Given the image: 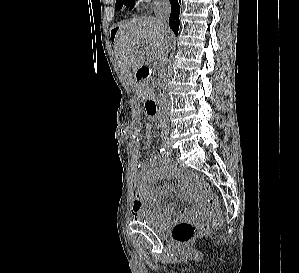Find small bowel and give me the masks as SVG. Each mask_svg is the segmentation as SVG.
Wrapping results in <instances>:
<instances>
[{"instance_id": "1", "label": "small bowel", "mask_w": 299, "mask_h": 273, "mask_svg": "<svg viewBox=\"0 0 299 273\" xmlns=\"http://www.w3.org/2000/svg\"><path fill=\"white\" fill-rule=\"evenodd\" d=\"M146 136L152 137V128L146 126ZM156 178L165 180L176 179L179 181V186L182 189L181 197L184 200H191L193 196L188 191V179L183 175L166 157L153 155L152 161L148 164L141 165L139 173L136 176V197L132 204V213L135 218L142 212H150L154 215L163 218H172L175 205L168 203L163 209L158 204V196L171 193L174 191L170 185L154 187L153 182ZM197 211L194 209H186L180 218L194 217Z\"/></svg>"}]
</instances>
